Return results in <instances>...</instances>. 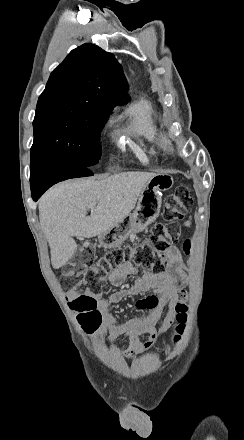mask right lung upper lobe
I'll use <instances>...</instances> for the list:
<instances>
[{
  "mask_svg": "<svg viewBox=\"0 0 244 440\" xmlns=\"http://www.w3.org/2000/svg\"><path fill=\"white\" fill-rule=\"evenodd\" d=\"M126 90L114 55L86 43L72 50L51 73L38 102H80L112 111Z\"/></svg>",
  "mask_w": 244,
  "mask_h": 440,
  "instance_id": "1",
  "label": "right lung upper lobe"
}]
</instances>
